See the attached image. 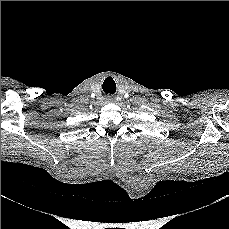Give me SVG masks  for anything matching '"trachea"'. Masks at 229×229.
I'll return each mask as SVG.
<instances>
[{"label": "trachea", "mask_w": 229, "mask_h": 229, "mask_svg": "<svg viewBox=\"0 0 229 229\" xmlns=\"http://www.w3.org/2000/svg\"><path fill=\"white\" fill-rule=\"evenodd\" d=\"M115 91H116V89L115 90H110V91H108L106 93L114 94Z\"/></svg>", "instance_id": "1"}]
</instances>
